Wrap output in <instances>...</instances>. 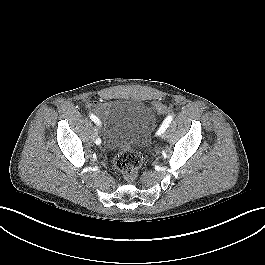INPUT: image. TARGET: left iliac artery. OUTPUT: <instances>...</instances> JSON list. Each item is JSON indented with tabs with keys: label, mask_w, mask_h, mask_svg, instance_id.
I'll return each instance as SVG.
<instances>
[{
	"label": "left iliac artery",
	"mask_w": 265,
	"mask_h": 265,
	"mask_svg": "<svg viewBox=\"0 0 265 265\" xmlns=\"http://www.w3.org/2000/svg\"><path fill=\"white\" fill-rule=\"evenodd\" d=\"M173 119L172 115H168L165 120L163 121L162 125L160 126V128L157 131V135H161L165 132V130L167 129V127L169 126V124L171 123Z\"/></svg>",
	"instance_id": "left-iliac-artery-1"
}]
</instances>
